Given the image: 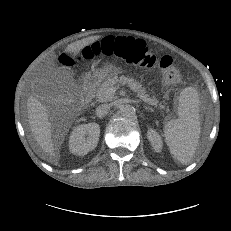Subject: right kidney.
Wrapping results in <instances>:
<instances>
[{"mask_svg": "<svg viewBox=\"0 0 231 231\" xmlns=\"http://www.w3.org/2000/svg\"><path fill=\"white\" fill-rule=\"evenodd\" d=\"M99 135L100 126L95 122L76 126L69 139L70 152L79 156L86 155L97 146Z\"/></svg>", "mask_w": 231, "mask_h": 231, "instance_id": "obj_1", "label": "right kidney"}]
</instances>
